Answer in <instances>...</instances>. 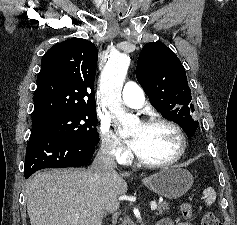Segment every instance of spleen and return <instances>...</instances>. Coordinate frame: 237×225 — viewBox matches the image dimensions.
Masks as SVG:
<instances>
[{"mask_svg": "<svg viewBox=\"0 0 237 225\" xmlns=\"http://www.w3.org/2000/svg\"><path fill=\"white\" fill-rule=\"evenodd\" d=\"M203 198L207 206L212 205L216 200V192L213 188H207L203 191Z\"/></svg>", "mask_w": 237, "mask_h": 225, "instance_id": "1", "label": "spleen"}]
</instances>
